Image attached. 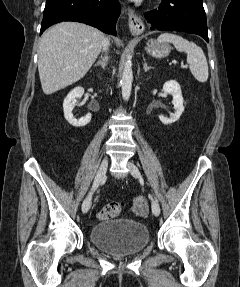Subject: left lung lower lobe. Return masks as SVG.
I'll use <instances>...</instances> for the list:
<instances>
[{
	"label": "left lung lower lobe",
	"instance_id": "left-lung-lower-lobe-1",
	"mask_svg": "<svg viewBox=\"0 0 240 287\" xmlns=\"http://www.w3.org/2000/svg\"><path fill=\"white\" fill-rule=\"evenodd\" d=\"M145 18L151 29L198 34L208 42L202 0H163L158 9L146 12Z\"/></svg>",
	"mask_w": 240,
	"mask_h": 287
}]
</instances>
